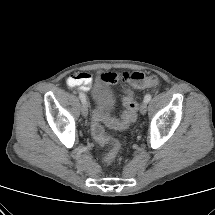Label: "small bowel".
Wrapping results in <instances>:
<instances>
[{"mask_svg": "<svg viewBox=\"0 0 215 215\" xmlns=\"http://www.w3.org/2000/svg\"><path fill=\"white\" fill-rule=\"evenodd\" d=\"M129 76H130L129 73L118 75L116 73L108 72V73H104L102 75V78L109 83H114L120 79L128 81ZM91 83H92V76L86 72L74 74L67 79V85L69 87H77L81 91L80 93L82 94L84 92H87L90 89Z\"/></svg>", "mask_w": 215, "mask_h": 215, "instance_id": "small-bowel-1", "label": "small bowel"}]
</instances>
